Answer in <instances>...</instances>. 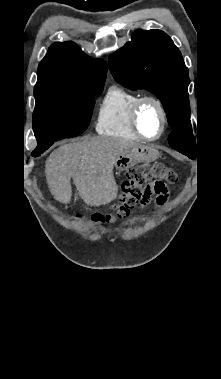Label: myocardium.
<instances>
[{
  "instance_id": "1",
  "label": "myocardium",
  "mask_w": 221,
  "mask_h": 379,
  "mask_svg": "<svg viewBox=\"0 0 221 379\" xmlns=\"http://www.w3.org/2000/svg\"><path fill=\"white\" fill-rule=\"evenodd\" d=\"M147 103H153L158 108L161 115V128L157 135L149 137L145 135L139 126V114L142 107ZM130 121L134 132L141 138L147 141H155L159 139L167 128V113L162 101L155 96H142L140 97L131 109Z\"/></svg>"
}]
</instances>
